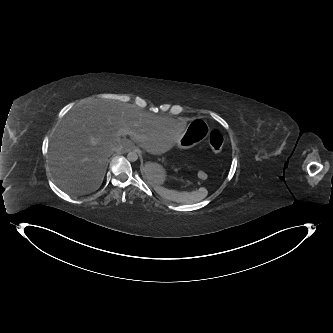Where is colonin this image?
<instances>
[{"mask_svg":"<svg viewBox=\"0 0 333 333\" xmlns=\"http://www.w3.org/2000/svg\"><path fill=\"white\" fill-rule=\"evenodd\" d=\"M209 147L211 151L215 154H219L223 147V136L218 130H213L209 135ZM198 176L201 179H204L206 177V174L204 171H200L198 173Z\"/></svg>","mask_w":333,"mask_h":333,"instance_id":"colon-1","label":"colon"}]
</instances>
